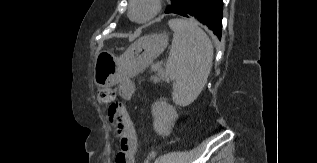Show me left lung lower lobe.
Listing matches in <instances>:
<instances>
[{"label": "left lung lower lobe", "mask_w": 317, "mask_h": 163, "mask_svg": "<svg viewBox=\"0 0 317 163\" xmlns=\"http://www.w3.org/2000/svg\"><path fill=\"white\" fill-rule=\"evenodd\" d=\"M222 8V0H181L172 13L196 18L221 39Z\"/></svg>", "instance_id": "obj_1"}]
</instances>
